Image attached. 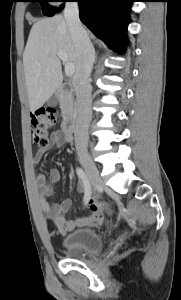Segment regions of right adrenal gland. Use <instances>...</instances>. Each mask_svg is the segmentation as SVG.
Here are the masks:
<instances>
[{
    "instance_id": "obj_1",
    "label": "right adrenal gland",
    "mask_w": 181,
    "mask_h": 300,
    "mask_svg": "<svg viewBox=\"0 0 181 300\" xmlns=\"http://www.w3.org/2000/svg\"><path fill=\"white\" fill-rule=\"evenodd\" d=\"M95 59L97 60V54H96V56H95Z\"/></svg>"
}]
</instances>
